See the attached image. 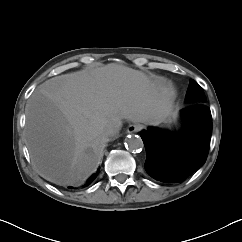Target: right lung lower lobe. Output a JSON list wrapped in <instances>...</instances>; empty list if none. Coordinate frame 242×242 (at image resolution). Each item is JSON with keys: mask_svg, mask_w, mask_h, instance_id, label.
<instances>
[{"mask_svg": "<svg viewBox=\"0 0 242 242\" xmlns=\"http://www.w3.org/2000/svg\"><path fill=\"white\" fill-rule=\"evenodd\" d=\"M98 175V172L96 173V174H93L90 178H89V180L87 181V184L85 185V186H87V185H89L95 178H96V176ZM71 189H72V187H70Z\"/></svg>", "mask_w": 242, "mask_h": 242, "instance_id": "1", "label": "right lung lower lobe"}]
</instances>
